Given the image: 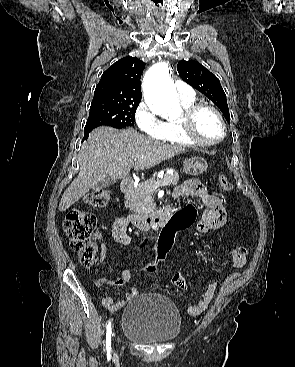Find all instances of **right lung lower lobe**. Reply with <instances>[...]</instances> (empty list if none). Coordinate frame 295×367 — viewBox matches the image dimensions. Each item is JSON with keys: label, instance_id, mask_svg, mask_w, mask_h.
<instances>
[{"label": "right lung lower lobe", "instance_id": "98d812e1", "mask_svg": "<svg viewBox=\"0 0 295 367\" xmlns=\"http://www.w3.org/2000/svg\"><path fill=\"white\" fill-rule=\"evenodd\" d=\"M88 135H89V134H88ZM88 135H86L84 139H87V138H88Z\"/></svg>", "mask_w": 295, "mask_h": 367}]
</instances>
